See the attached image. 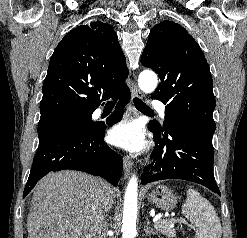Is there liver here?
Instances as JSON below:
<instances>
[{
  "label": "liver",
  "instance_id": "liver-1",
  "mask_svg": "<svg viewBox=\"0 0 247 238\" xmlns=\"http://www.w3.org/2000/svg\"><path fill=\"white\" fill-rule=\"evenodd\" d=\"M95 177L72 170L52 172L36 185L27 217L28 238H91L90 203ZM106 208L115 195L106 188Z\"/></svg>",
  "mask_w": 247,
  "mask_h": 238
}]
</instances>
